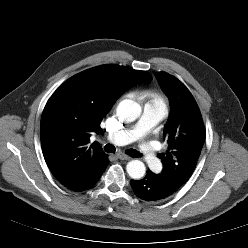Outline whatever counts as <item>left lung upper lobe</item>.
I'll use <instances>...</instances> for the list:
<instances>
[{
  "label": "left lung upper lobe",
  "mask_w": 248,
  "mask_h": 248,
  "mask_svg": "<svg viewBox=\"0 0 248 248\" xmlns=\"http://www.w3.org/2000/svg\"><path fill=\"white\" fill-rule=\"evenodd\" d=\"M169 97L171 113L164 128L170 152L162 157L160 181L178 191L191 177L203 148L206 132L200 110L187 87L166 72L155 73Z\"/></svg>",
  "instance_id": "5c2ea615"
}]
</instances>
